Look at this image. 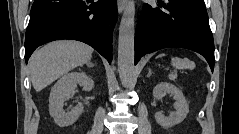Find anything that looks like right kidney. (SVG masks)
Returning <instances> with one entry per match:
<instances>
[{"instance_id": "right-kidney-1", "label": "right kidney", "mask_w": 239, "mask_h": 134, "mask_svg": "<svg viewBox=\"0 0 239 134\" xmlns=\"http://www.w3.org/2000/svg\"><path fill=\"white\" fill-rule=\"evenodd\" d=\"M77 84L85 91L92 90L94 81L84 72H71L63 75L51 89L49 96V113L60 127L73 124L83 112V105L78 104L67 112L63 109L64 101L76 89Z\"/></svg>"}]
</instances>
